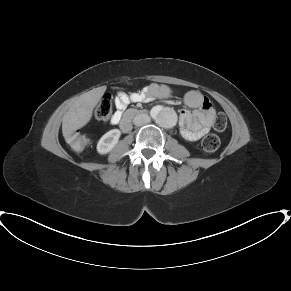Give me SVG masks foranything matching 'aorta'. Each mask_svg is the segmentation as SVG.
<instances>
[{
  "label": "aorta",
  "instance_id": "762f6f07",
  "mask_svg": "<svg viewBox=\"0 0 291 291\" xmlns=\"http://www.w3.org/2000/svg\"><path fill=\"white\" fill-rule=\"evenodd\" d=\"M156 123L163 128H171L176 124V113L170 108H161L153 112Z\"/></svg>",
  "mask_w": 291,
  "mask_h": 291
}]
</instances>
